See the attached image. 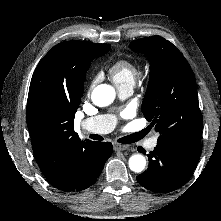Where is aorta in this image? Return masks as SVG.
Wrapping results in <instances>:
<instances>
[{
    "label": "aorta",
    "instance_id": "obj_1",
    "mask_svg": "<svg viewBox=\"0 0 221 221\" xmlns=\"http://www.w3.org/2000/svg\"><path fill=\"white\" fill-rule=\"evenodd\" d=\"M115 89L107 84L98 85L92 92V101L96 106L104 107L110 105L115 99ZM146 159L141 154H134L129 158V168L135 173L145 169Z\"/></svg>",
    "mask_w": 221,
    "mask_h": 221
}]
</instances>
